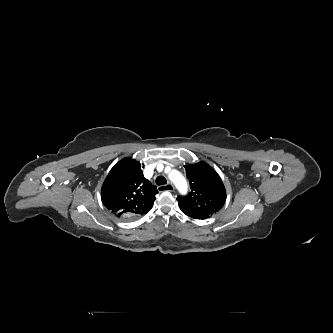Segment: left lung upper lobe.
<instances>
[{
	"instance_id": "1",
	"label": "left lung upper lobe",
	"mask_w": 333,
	"mask_h": 333,
	"mask_svg": "<svg viewBox=\"0 0 333 333\" xmlns=\"http://www.w3.org/2000/svg\"><path fill=\"white\" fill-rule=\"evenodd\" d=\"M185 170L191 191L177 197L181 211L199 219L218 212L225 203L226 192L217 172L205 162L187 165Z\"/></svg>"
}]
</instances>
